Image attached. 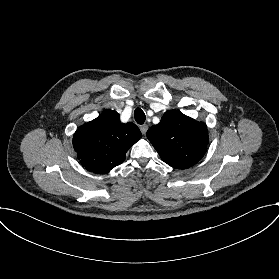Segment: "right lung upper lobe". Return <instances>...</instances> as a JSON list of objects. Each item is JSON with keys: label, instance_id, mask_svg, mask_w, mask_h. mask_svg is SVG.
<instances>
[{"label": "right lung upper lobe", "instance_id": "obj_1", "mask_svg": "<svg viewBox=\"0 0 279 279\" xmlns=\"http://www.w3.org/2000/svg\"><path fill=\"white\" fill-rule=\"evenodd\" d=\"M141 137L134 123L123 124L116 111L105 110L77 129L73 146L87 170L103 174L121 164L128 149Z\"/></svg>", "mask_w": 279, "mask_h": 279}]
</instances>
